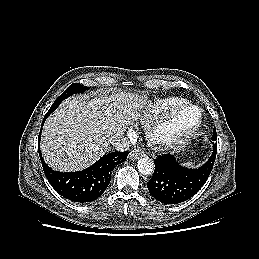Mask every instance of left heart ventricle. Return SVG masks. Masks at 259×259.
Listing matches in <instances>:
<instances>
[{"mask_svg": "<svg viewBox=\"0 0 259 259\" xmlns=\"http://www.w3.org/2000/svg\"><path fill=\"white\" fill-rule=\"evenodd\" d=\"M196 118V112L194 110H188L181 113L175 120V126L182 128L191 124Z\"/></svg>", "mask_w": 259, "mask_h": 259, "instance_id": "1", "label": "left heart ventricle"}]
</instances>
